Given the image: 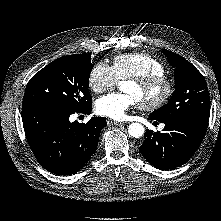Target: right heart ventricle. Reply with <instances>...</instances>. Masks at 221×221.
I'll list each match as a JSON object with an SVG mask.
<instances>
[{"instance_id": "e07e8e85", "label": "right heart ventricle", "mask_w": 221, "mask_h": 221, "mask_svg": "<svg viewBox=\"0 0 221 221\" xmlns=\"http://www.w3.org/2000/svg\"><path fill=\"white\" fill-rule=\"evenodd\" d=\"M112 68L118 80L134 77L165 74L164 64L153 56L134 52L120 54L114 57Z\"/></svg>"}]
</instances>
